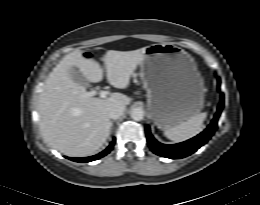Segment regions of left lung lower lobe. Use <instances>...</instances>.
I'll use <instances>...</instances> for the list:
<instances>
[{
    "label": "left lung lower lobe",
    "instance_id": "1",
    "mask_svg": "<svg viewBox=\"0 0 260 205\" xmlns=\"http://www.w3.org/2000/svg\"><path fill=\"white\" fill-rule=\"evenodd\" d=\"M218 85H220V78H218ZM223 106H224V94L221 93L220 104L218 106L217 113L214 116V119L211 122V124L207 127V129H205L202 133H200L196 137L178 144L166 145V144L159 143L151 135L149 126H146V136H147V141L150 149L159 156L171 158V159H180L189 156L190 154L194 153L198 148L203 146L214 134L217 128V121L221 114Z\"/></svg>",
    "mask_w": 260,
    "mask_h": 205
}]
</instances>
